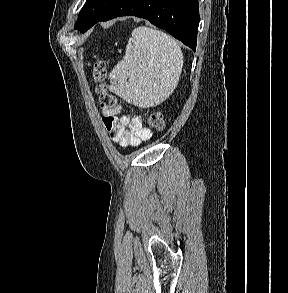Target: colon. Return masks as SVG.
<instances>
[{
    "instance_id": "5ec220e1",
    "label": "colon",
    "mask_w": 288,
    "mask_h": 293,
    "mask_svg": "<svg viewBox=\"0 0 288 293\" xmlns=\"http://www.w3.org/2000/svg\"><path fill=\"white\" fill-rule=\"evenodd\" d=\"M93 78L96 83V91L100 97L101 107L104 109H113L116 107V98L107 90L106 64L101 59H96L93 65ZM150 127L157 131H162L166 126V119L160 112H152L146 117Z\"/></svg>"
}]
</instances>
